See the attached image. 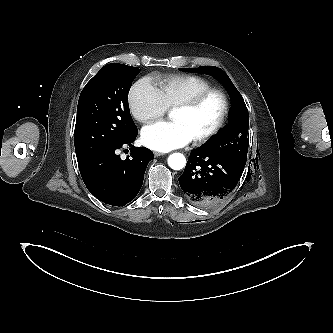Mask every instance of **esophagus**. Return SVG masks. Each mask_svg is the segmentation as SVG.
<instances>
[{
  "instance_id": "esophagus-1",
  "label": "esophagus",
  "mask_w": 333,
  "mask_h": 333,
  "mask_svg": "<svg viewBox=\"0 0 333 333\" xmlns=\"http://www.w3.org/2000/svg\"><path fill=\"white\" fill-rule=\"evenodd\" d=\"M162 155H164V154L161 153V152H157V151L154 152V156H155V157H160V156H162Z\"/></svg>"
}]
</instances>
